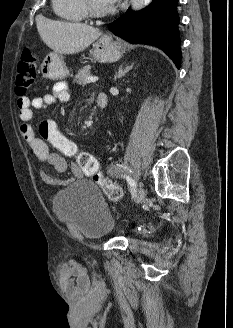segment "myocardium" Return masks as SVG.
Instances as JSON below:
<instances>
[{
	"label": "myocardium",
	"mask_w": 233,
	"mask_h": 328,
	"mask_svg": "<svg viewBox=\"0 0 233 328\" xmlns=\"http://www.w3.org/2000/svg\"><path fill=\"white\" fill-rule=\"evenodd\" d=\"M83 4L87 14L95 18H102L108 16L112 14L114 11L112 8H107V9L98 8L93 4L92 0H83Z\"/></svg>",
	"instance_id": "obj_1"
}]
</instances>
